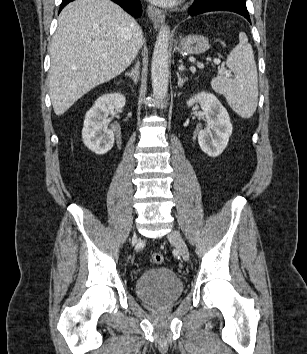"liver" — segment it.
<instances>
[{"instance_id":"6515ba94","label":"liver","mask_w":307,"mask_h":354,"mask_svg":"<svg viewBox=\"0 0 307 354\" xmlns=\"http://www.w3.org/2000/svg\"><path fill=\"white\" fill-rule=\"evenodd\" d=\"M143 43L138 23L110 0H75L58 17L50 45V98L57 116L121 74ZM107 53V57L103 54Z\"/></svg>"}]
</instances>
